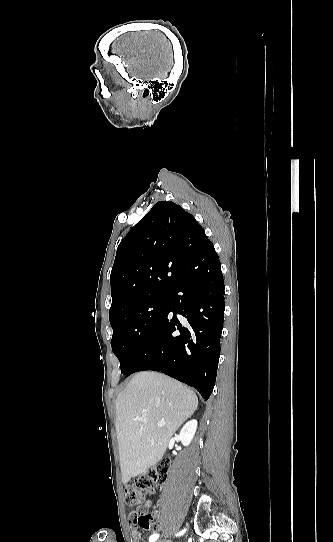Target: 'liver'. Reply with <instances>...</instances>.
I'll use <instances>...</instances> for the list:
<instances>
[{"label": "liver", "mask_w": 333, "mask_h": 542, "mask_svg": "<svg viewBox=\"0 0 333 542\" xmlns=\"http://www.w3.org/2000/svg\"><path fill=\"white\" fill-rule=\"evenodd\" d=\"M198 408L190 388L157 372H140L116 398V432L123 484L162 460L173 434ZM146 418L147 422H139ZM165 422L166 426H157Z\"/></svg>", "instance_id": "6515ba94"}]
</instances>
